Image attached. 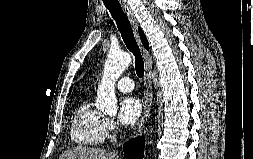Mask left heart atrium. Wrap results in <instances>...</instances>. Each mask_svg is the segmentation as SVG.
<instances>
[{"label":"left heart atrium","mask_w":253,"mask_h":159,"mask_svg":"<svg viewBox=\"0 0 253 159\" xmlns=\"http://www.w3.org/2000/svg\"><path fill=\"white\" fill-rule=\"evenodd\" d=\"M142 115V104L136 97L127 96L122 99L119 107L118 120L122 125H134Z\"/></svg>","instance_id":"obj_1"}]
</instances>
